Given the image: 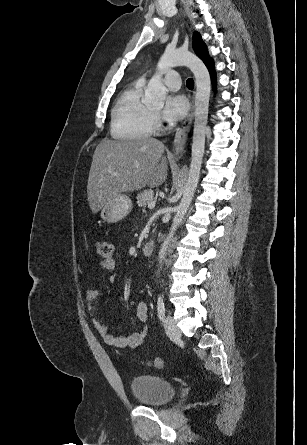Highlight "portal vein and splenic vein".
<instances>
[{
	"mask_svg": "<svg viewBox=\"0 0 307 445\" xmlns=\"http://www.w3.org/2000/svg\"><path fill=\"white\" fill-rule=\"evenodd\" d=\"M109 172H112V170H109ZM112 174H117V172H112ZM156 206L155 200H152V202H148V208H154Z\"/></svg>",
	"mask_w": 307,
	"mask_h": 445,
	"instance_id": "18ae733b",
	"label": "portal vein and splenic vein"
}]
</instances>
